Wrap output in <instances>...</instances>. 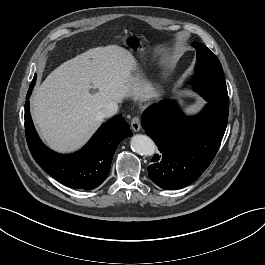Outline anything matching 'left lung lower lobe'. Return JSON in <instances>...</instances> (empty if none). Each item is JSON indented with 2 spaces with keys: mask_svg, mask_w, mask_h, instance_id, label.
<instances>
[{
  "mask_svg": "<svg viewBox=\"0 0 265 265\" xmlns=\"http://www.w3.org/2000/svg\"><path fill=\"white\" fill-rule=\"evenodd\" d=\"M228 121V111L208 103L193 118H185L168 100L149 106L142 126L162 153L148 167L150 179L168 190L195 181L215 157Z\"/></svg>",
  "mask_w": 265,
  "mask_h": 265,
  "instance_id": "1",
  "label": "left lung lower lobe"
}]
</instances>
